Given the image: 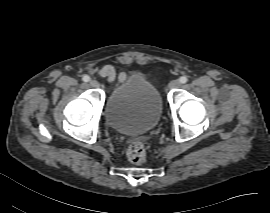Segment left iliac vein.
<instances>
[{
	"label": "left iliac vein",
	"mask_w": 270,
	"mask_h": 213,
	"mask_svg": "<svg viewBox=\"0 0 270 213\" xmlns=\"http://www.w3.org/2000/svg\"><path fill=\"white\" fill-rule=\"evenodd\" d=\"M179 86H180V81L177 79H174L169 83L168 87L169 89H174V88H178Z\"/></svg>",
	"instance_id": "1"
}]
</instances>
